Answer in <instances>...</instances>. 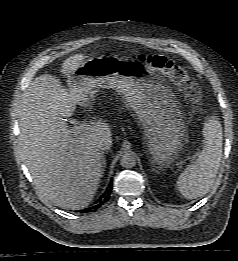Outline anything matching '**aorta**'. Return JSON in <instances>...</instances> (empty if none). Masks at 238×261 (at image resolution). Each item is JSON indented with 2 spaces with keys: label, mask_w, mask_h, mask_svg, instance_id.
Returning a JSON list of instances; mask_svg holds the SVG:
<instances>
[{
  "label": "aorta",
  "mask_w": 238,
  "mask_h": 261,
  "mask_svg": "<svg viewBox=\"0 0 238 261\" xmlns=\"http://www.w3.org/2000/svg\"><path fill=\"white\" fill-rule=\"evenodd\" d=\"M120 163L124 168H133L136 165V157L131 153L122 155Z\"/></svg>",
  "instance_id": "aorta-1"
}]
</instances>
